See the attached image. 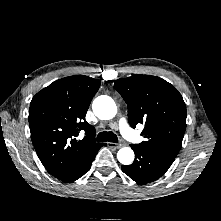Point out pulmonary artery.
Here are the masks:
<instances>
[{
    "label": "pulmonary artery",
    "mask_w": 221,
    "mask_h": 221,
    "mask_svg": "<svg viewBox=\"0 0 221 221\" xmlns=\"http://www.w3.org/2000/svg\"><path fill=\"white\" fill-rule=\"evenodd\" d=\"M118 128L123 136L127 139H133L134 136L130 132V127L125 118H121L118 122Z\"/></svg>",
    "instance_id": "e3ab8cb5"
}]
</instances>
